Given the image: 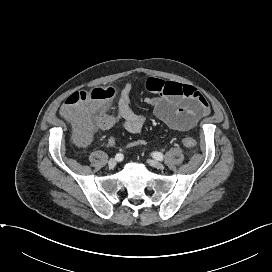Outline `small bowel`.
<instances>
[{
    "mask_svg": "<svg viewBox=\"0 0 272 272\" xmlns=\"http://www.w3.org/2000/svg\"><path fill=\"white\" fill-rule=\"evenodd\" d=\"M144 85L147 90L156 94L154 98L146 100L152 106L148 115L137 113L131 106V92L133 83L127 82L120 94L116 115H103L98 119V127L109 129L121 124L132 134L139 133L149 117L159 119L174 131H188L195 127L199 120L211 113L206 97L195 87L174 81H164L156 77H148ZM110 145H115L114 137L109 139ZM143 141L136 140L130 144L137 147Z\"/></svg>",
    "mask_w": 272,
    "mask_h": 272,
    "instance_id": "small-bowel-1",
    "label": "small bowel"
}]
</instances>
